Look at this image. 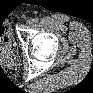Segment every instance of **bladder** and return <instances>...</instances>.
<instances>
[{"label":"bladder","mask_w":93,"mask_h":93,"mask_svg":"<svg viewBox=\"0 0 93 93\" xmlns=\"http://www.w3.org/2000/svg\"><path fill=\"white\" fill-rule=\"evenodd\" d=\"M2 39L5 41V39H6V38L3 36V38H2Z\"/></svg>","instance_id":"obj_1"}]
</instances>
